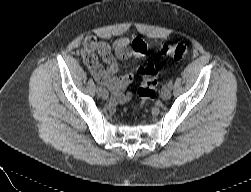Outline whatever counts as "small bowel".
Returning a JSON list of instances; mask_svg holds the SVG:
<instances>
[{
	"instance_id": "c3829d8e",
	"label": "small bowel",
	"mask_w": 251,
	"mask_h": 192,
	"mask_svg": "<svg viewBox=\"0 0 251 192\" xmlns=\"http://www.w3.org/2000/svg\"><path fill=\"white\" fill-rule=\"evenodd\" d=\"M147 52V45L143 40L130 41L126 37L118 38L113 45L99 40L95 36H87L82 47V57L94 79L106 86L118 102H126L129 94L125 89L133 82L131 74L117 75L118 60L131 56L143 57ZM97 54L103 59L106 67L98 61Z\"/></svg>"
}]
</instances>
